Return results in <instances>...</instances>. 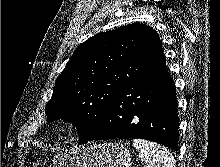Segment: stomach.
Masks as SVG:
<instances>
[{"label": "stomach", "instance_id": "0dacf381", "mask_svg": "<svg viewBox=\"0 0 220 167\" xmlns=\"http://www.w3.org/2000/svg\"><path fill=\"white\" fill-rule=\"evenodd\" d=\"M130 151L119 143H102L56 156L50 167H130Z\"/></svg>", "mask_w": 220, "mask_h": 167}]
</instances>
